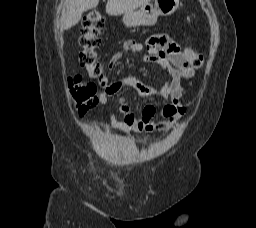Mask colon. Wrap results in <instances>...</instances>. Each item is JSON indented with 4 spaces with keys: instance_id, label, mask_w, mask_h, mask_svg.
Masks as SVG:
<instances>
[{
    "instance_id": "5ec220e1",
    "label": "colon",
    "mask_w": 256,
    "mask_h": 228,
    "mask_svg": "<svg viewBox=\"0 0 256 228\" xmlns=\"http://www.w3.org/2000/svg\"><path fill=\"white\" fill-rule=\"evenodd\" d=\"M104 20L98 11H90L85 15L82 22V34L80 45L83 50L79 55V63L85 68L91 77L99 78L103 73L102 65L97 61L96 48L100 44V32ZM193 68L203 65L202 55L186 48L183 50ZM70 94L74 99L80 114L85 113L97 103L96 86L92 83L83 82L79 75L68 79Z\"/></svg>"
}]
</instances>
